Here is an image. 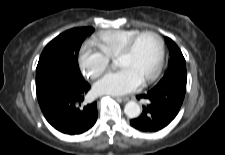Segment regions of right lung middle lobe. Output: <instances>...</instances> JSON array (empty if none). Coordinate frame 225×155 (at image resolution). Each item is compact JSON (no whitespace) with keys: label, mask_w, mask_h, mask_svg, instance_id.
Wrapping results in <instances>:
<instances>
[{"label":"right lung middle lobe","mask_w":225,"mask_h":155,"mask_svg":"<svg viewBox=\"0 0 225 155\" xmlns=\"http://www.w3.org/2000/svg\"><path fill=\"white\" fill-rule=\"evenodd\" d=\"M93 31L92 27L74 28L60 34L46 45L36 68L37 94L59 78H82L78 53L84 39Z\"/></svg>","instance_id":"right-lung-middle-lobe-1"}]
</instances>
